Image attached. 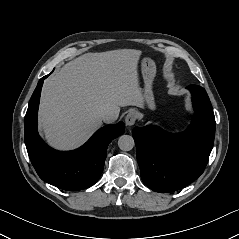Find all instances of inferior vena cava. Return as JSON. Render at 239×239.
<instances>
[{"label":"inferior vena cava","mask_w":239,"mask_h":239,"mask_svg":"<svg viewBox=\"0 0 239 239\" xmlns=\"http://www.w3.org/2000/svg\"><path fill=\"white\" fill-rule=\"evenodd\" d=\"M99 118L103 121H111L113 119V115L109 112L101 113Z\"/></svg>","instance_id":"1"}]
</instances>
